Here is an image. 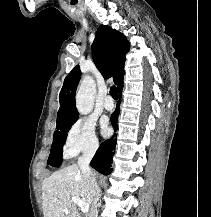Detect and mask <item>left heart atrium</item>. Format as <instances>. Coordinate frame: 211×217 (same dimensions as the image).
I'll return each instance as SVG.
<instances>
[{"mask_svg":"<svg viewBox=\"0 0 211 217\" xmlns=\"http://www.w3.org/2000/svg\"><path fill=\"white\" fill-rule=\"evenodd\" d=\"M109 127L107 126V124H103V129L102 132L104 135H108L109 134Z\"/></svg>","mask_w":211,"mask_h":217,"instance_id":"obj_1","label":"left heart atrium"}]
</instances>
